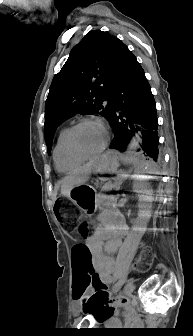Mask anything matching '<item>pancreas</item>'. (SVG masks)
<instances>
[{
  "label": "pancreas",
  "instance_id": "1",
  "mask_svg": "<svg viewBox=\"0 0 193 336\" xmlns=\"http://www.w3.org/2000/svg\"><path fill=\"white\" fill-rule=\"evenodd\" d=\"M119 187V184L116 182L115 184L108 183L102 187L101 199L99 201L100 209L103 211H115L117 209L116 203L117 198L113 197L111 193L112 188Z\"/></svg>",
  "mask_w": 193,
  "mask_h": 336
}]
</instances>
